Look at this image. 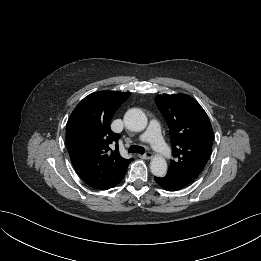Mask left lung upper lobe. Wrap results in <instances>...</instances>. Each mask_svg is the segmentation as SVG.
<instances>
[{
  "mask_svg": "<svg viewBox=\"0 0 261 261\" xmlns=\"http://www.w3.org/2000/svg\"><path fill=\"white\" fill-rule=\"evenodd\" d=\"M155 102L170 130L174 160L167 174L192 183L204 169L212 151L213 130L200 104L186 94L158 95Z\"/></svg>",
  "mask_w": 261,
  "mask_h": 261,
  "instance_id": "5c2ea615",
  "label": "left lung upper lobe"
}]
</instances>
